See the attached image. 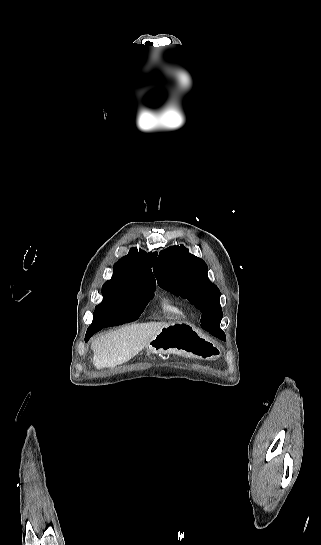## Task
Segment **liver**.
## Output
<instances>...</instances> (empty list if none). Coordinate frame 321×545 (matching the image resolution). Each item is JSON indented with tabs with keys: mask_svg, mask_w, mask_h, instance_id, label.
<instances>
[{
	"mask_svg": "<svg viewBox=\"0 0 321 545\" xmlns=\"http://www.w3.org/2000/svg\"><path fill=\"white\" fill-rule=\"evenodd\" d=\"M166 323H134L118 331L106 333L95 339L91 345L94 351L92 363L96 369L118 367L136 357L145 345L153 339Z\"/></svg>",
	"mask_w": 321,
	"mask_h": 545,
	"instance_id": "6515ba94",
	"label": "liver"
}]
</instances>
